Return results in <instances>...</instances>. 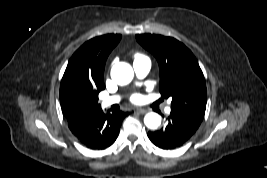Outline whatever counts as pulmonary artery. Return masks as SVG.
I'll return each instance as SVG.
<instances>
[{
    "label": "pulmonary artery",
    "instance_id": "obj_1",
    "mask_svg": "<svg viewBox=\"0 0 267 178\" xmlns=\"http://www.w3.org/2000/svg\"><path fill=\"white\" fill-rule=\"evenodd\" d=\"M133 68L138 77H144L148 74L151 68V61L148 58L135 60L133 63ZM119 96H111L102 99L101 104L103 107H108L119 102ZM170 108L166 109V113H170Z\"/></svg>",
    "mask_w": 267,
    "mask_h": 178
}]
</instances>
